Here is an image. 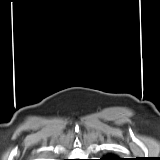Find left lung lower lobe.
<instances>
[{
    "instance_id": "1",
    "label": "left lung lower lobe",
    "mask_w": 160,
    "mask_h": 160,
    "mask_svg": "<svg viewBox=\"0 0 160 160\" xmlns=\"http://www.w3.org/2000/svg\"><path fill=\"white\" fill-rule=\"evenodd\" d=\"M101 160H120V158L107 157V158H101Z\"/></svg>"
}]
</instances>
